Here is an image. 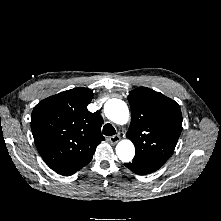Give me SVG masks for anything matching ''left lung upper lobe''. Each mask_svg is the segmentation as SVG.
<instances>
[{
  "mask_svg": "<svg viewBox=\"0 0 221 221\" xmlns=\"http://www.w3.org/2000/svg\"><path fill=\"white\" fill-rule=\"evenodd\" d=\"M128 101L132 119L127 137L135 145L134 158L163 165L182 131L179 105L146 87L131 91Z\"/></svg>",
  "mask_w": 221,
  "mask_h": 221,
  "instance_id": "5c2ea615",
  "label": "left lung upper lobe"
}]
</instances>
